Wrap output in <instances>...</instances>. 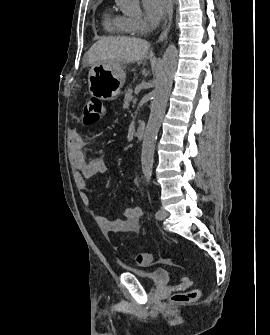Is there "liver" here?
<instances>
[{
    "instance_id": "obj_1",
    "label": "liver",
    "mask_w": 270,
    "mask_h": 335,
    "mask_svg": "<svg viewBox=\"0 0 270 335\" xmlns=\"http://www.w3.org/2000/svg\"><path fill=\"white\" fill-rule=\"evenodd\" d=\"M150 48L141 38H100L87 52L88 64H101L108 70H116L121 62L144 60Z\"/></svg>"
}]
</instances>
